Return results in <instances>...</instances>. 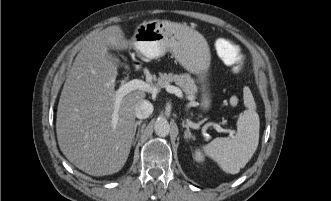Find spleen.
Segmentation results:
<instances>
[{
    "instance_id": "1",
    "label": "spleen",
    "mask_w": 331,
    "mask_h": 201,
    "mask_svg": "<svg viewBox=\"0 0 331 201\" xmlns=\"http://www.w3.org/2000/svg\"><path fill=\"white\" fill-rule=\"evenodd\" d=\"M244 103L247 109L238 119L236 135L232 138L217 137L203 146L204 152L229 174L239 173L259 144L260 121L253 97H246Z\"/></svg>"
}]
</instances>
